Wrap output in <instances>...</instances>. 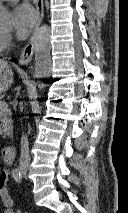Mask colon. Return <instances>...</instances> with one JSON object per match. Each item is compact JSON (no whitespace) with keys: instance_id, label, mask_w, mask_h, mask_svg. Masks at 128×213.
Here are the masks:
<instances>
[{"instance_id":"1","label":"colon","mask_w":128,"mask_h":213,"mask_svg":"<svg viewBox=\"0 0 128 213\" xmlns=\"http://www.w3.org/2000/svg\"><path fill=\"white\" fill-rule=\"evenodd\" d=\"M14 213H26V212H22V211H14Z\"/></svg>"}]
</instances>
